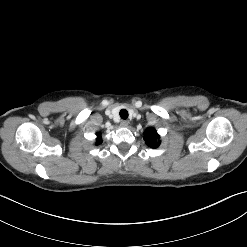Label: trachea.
<instances>
[{
    "mask_svg": "<svg viewBox=\"0 0 247 247\" xmlns=\"http://www.w3.org/2000/svg\"><path fill=\"white\" fill-rule=\"evenodd\" d=\"M119 114H120V117L124 120L128 118V111L126 109L120 110Z\"/></svg>",
    "mask_w": 247,
    "mask_h": 247,
    "instance_id": "1",
    "label": "trachea"
}]
</instances>
